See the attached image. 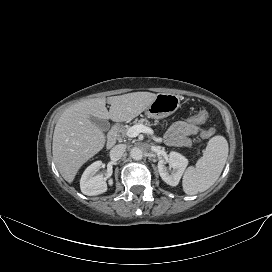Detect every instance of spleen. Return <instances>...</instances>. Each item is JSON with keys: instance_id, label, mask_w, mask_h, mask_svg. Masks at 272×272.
<instances>
[{"instance_id": "3e777b00", "label": "spleen", "mask_w": 272, "mask_h": 272, "mask_svg": "<svg viewBox=\"0 0 272 272\" xmlns=\"http://www.w3.org/2000/svg\"><path fill=\"white\" fill-rule=\"evenodd\" d=\"M228 151L225 137L220 135L212 137L196 166L186 170L182 180L184 192L187 195H195L210 188L225 166Z\"/></svg>"}]
</instances>
